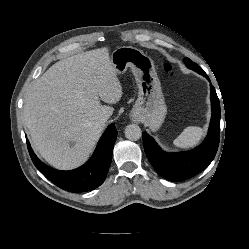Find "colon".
<instances>
[{"mask_svg": "<svg viewBox=\"0 0 249 249\" xmlns=\"http://www.w3.org/2000/svg\"><path fill=\"white\" fill-rule=\"evenodd\" d=\"M165 69L166 71H168L171 75H174L175 74V71L173 69V66L171 64H165Z\"/></svg>", "mask_w": 249, "mask_h": 249, "instance_id": "1", "label": "colon"}]
</instances>
